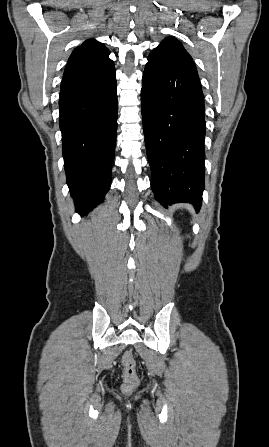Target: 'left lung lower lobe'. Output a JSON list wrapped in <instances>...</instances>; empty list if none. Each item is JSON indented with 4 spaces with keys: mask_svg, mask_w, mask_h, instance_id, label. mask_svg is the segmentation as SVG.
<instances>
[{
    "mask_svg": "<svg viewBox=\"0 0 269 447\" xmlns=\"http://www.w3.org/2000/svg\"><path fill=\"white\" fill-rule=\"evenodd\" d=\"M141 108L151 187L166 205L198 208L204 190V97L195 64L161 50L148 56Z\"/></svg>",
    "mask_w": 269,
    "mask_h": 447,
    "instance_id": "0a47b994",
    "label": "left lung lower lobe"
}]
</instances>
